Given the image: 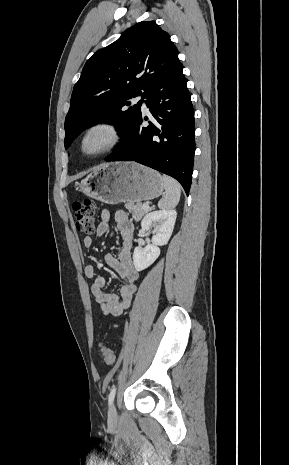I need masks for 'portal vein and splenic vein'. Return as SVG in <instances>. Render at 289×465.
<instances>
[{
	"label": "portal vein and splenic vein",
	"instance_id": "obj_1",
	"mask_svg": "<svg viewBox=\"0 0 289 465\" xmlns=\"http://www.w3.org/2000/svg\"><path fill=\"white\" fill-rule=\"evenodd\" d=\"M143 208H144V209H148V208H149V205H148V204H143Z\"/></svg>",
	"mask_w": 289,
	"mask_h": 465
}]
</instances>
